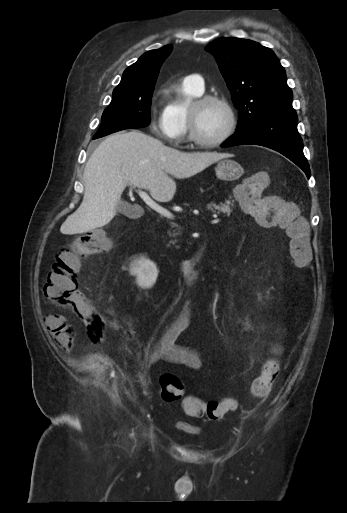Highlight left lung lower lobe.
Segmentation results:
<instances>
[{"label": "left lung lower lobe", "mask_w": 347, "mask_h": 513, "mask_svg": "<svg viewBox=\"0 0 347 513\" xmlns=\"http://www.w3.org/2000/svg\"><path fill=\"white\" fill-rule=\"evenodd\" d=\"M253 144L271 148L298 165L310 178L303 154V142L297 131V115H273L263 118L222 144V147Z\"/></svg>", "instance_id": "obj_1"}]
</instances>
